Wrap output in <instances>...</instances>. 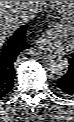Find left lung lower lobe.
Listing matches in <instances>:
<instances>
[{
	"mask_svg": "<svg viewBox=\"0 0 74 122\" xmlns=\"http://www.w3.org/2000/svg\"><path fill=\"white\" fill-rule=\"evenodd\" d=\"M69 62V70L62 78L56 81V89L62 94L74 96V53Z\"/></svg>",
	"mask_w": 74,
	"mask_h": 122,
	"instance_id": "obj_1",
	"label": "left lung lower lobe"
}]
</instances>
